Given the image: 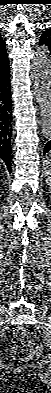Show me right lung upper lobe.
<instances>
[{
  "label": "right lung upper lobe",
  "instance_id": "obj_1",
  "mask_svg": "<svg viewBox=\"0 0 51 393\" xmlns=\"http://www.w3.org/2000/svg\"><path fill=\"white\" fill-rule=\"evenodd\" d=\"M9 69L8 55L5 49V42L0 35V74Z\"/></svg>",
  "mask_w": 51,
  "mask_h": 393
}]
</instances>
